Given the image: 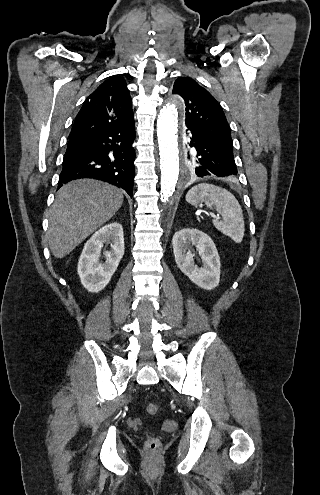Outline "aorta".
I'll return each mask as SVG.
<instances>
[{
    "label": "aorta",
    "instance_id": "762f6f07",
    "mask_svg": "<svg viewBox=\"0 0 320 495\" xmlns=\"http://www.w3.org/2000/svg\"><path fill=\"white\" fill-rule=\"evenodd\" d=\"M183 107L179 96L173 97L163 106L157 121V136L160 154L161 195L152 207V213L162 223L163 215L172 208L171 196L179 176L178 111ZM190 176H187V180Z\"/></svg>",
    "mask_w": 320,
    "mask_h": 495
}]
</instances>
